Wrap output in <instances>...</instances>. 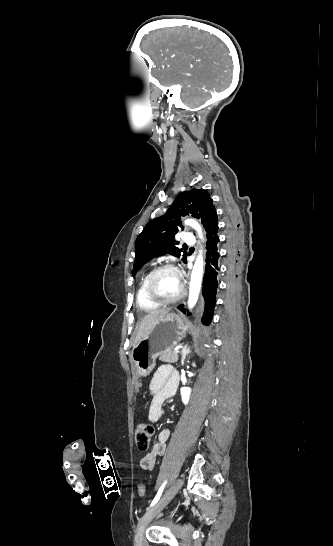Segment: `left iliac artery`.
Wrapping results in <instances>:
<instances>
[{"instance_id":"1","label":"left iliac artery","mask_w":333,"mask_h":546,"mask_svg":"<svg viewBox=\"0 0 333 546\" xmlns=\"http://www.w3.org/2000/svg\"><path fill=\"white\" fill-rule=\"evenodd\" d=\"M166 483H167V481H165V482L161 485V487L159 488V490H158V492H157L155 498H154L153 501L151 502L150 507L154 506V505L159 501V499H160V497H161V495H162V492H163V489H164ZM150 507H149V508H150Z\"/></svg>"}]
</instances>
